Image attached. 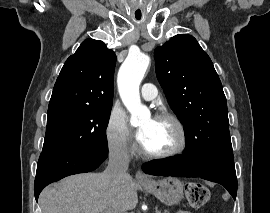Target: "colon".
Masks as SVG:
<instances>
[{
	"mask_svg": "<svg viewBox=\"0 0 270 213\" xmlns=\"http://www.w3.org/2000/svg\"><path fill=\"white\" fill-rule=\"evenodd\" d=\"M185 195L190 205L195 208L203 206L210 197L207 187L199 182L186 183Z\"/></svg>",
	"mask_w": 270,
	"mask_h": 213,
	"instance_id": "5ec220e1",
	"label": "colon"
}]
</instances>
